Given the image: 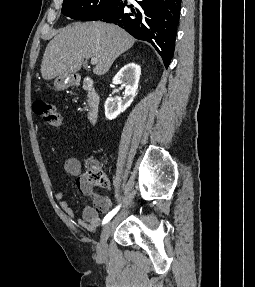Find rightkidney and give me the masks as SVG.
Returning <instances> with one entry per match:
<instances>
[{"label": "right kidney", "mask_w": 255, "mask_h": 287, "mask_svg": "<svg viewBox=\"0 0 255 287\" xmlns=\"http://www.w3.org/2000/svg\"><path fill=\"white\" fill-rule=\"evenodd\" d=\"M140 74V66L130 62V64H126V66L121 68L118 74L114 76L113 84H121V86L125 88V94L121 100L107 98L105 102V116L107 120H114V118H117L121 112H124V110L132 104L138 90Z\"/></svg>", "instance_id": "ca27d5eb"}]
</instances>
